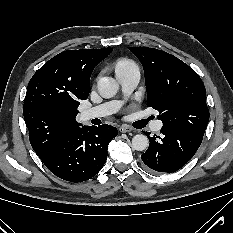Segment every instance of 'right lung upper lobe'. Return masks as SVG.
I'll list each match as a JSON object with an SVG mask.
<instances>
[{"label": "right lung upper lobe", "mask_w": 233, "mask_h": 233, "mask_svg": "<svg viewBox=\"0 0 233 233\" xmlns=\"http://www.w3.org/2000/svg\"><path fill=\"white\" fill-rule=\"evenodd\" d=\"M112 48L64 51L46 62L31 78L23 105L33 150L40 157L65 134L79 128L81 100L89 96L94 67Z\"/></svg>", "instance_id": "right-lung-upper-lobe-1"}]
</instances>
